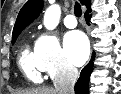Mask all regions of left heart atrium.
<instances>
[{"instance_id": "1", "label": "left heart atrium", "mask_w": 121, "mask_h": 94, "mask_svg": "<svg viewBox=\"0 0 121 94\" xmlns=\"http://www.w3.org/2000/svg\"><path fill=\"white\" fill-rule=\"evenodd\" d=\"M64 48L67 57L75 65H82L88 58V42L80 31H71L65 35Z\"/></svg>"}]
</instances>
